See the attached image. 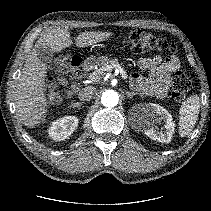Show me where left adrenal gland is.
Wrapping results in <instances>:
<instances>
[{
    "instance_id": "left-adrenal-gland-1",
    "label": "left adrenal gland",
    "mask_w": 211,
    "mask_h": 211,
    "mask_svg": "<svg viewBox=\"0 0 211 211\" xmlns=\"http://www.w3.org/2000/svg\"><path fill=\"white\" fill-rule=\"evenodd\" d=\"M137 94H139V93L126 91V95H127V97L130 98V99H131L134 95H137Z\"/></svg>"
}]
</instances>
